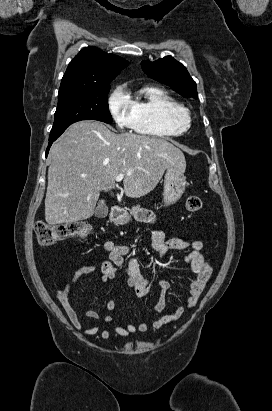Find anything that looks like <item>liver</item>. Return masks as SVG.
<instances>
[{
    "label": "liver",
    "instance_id": "liver-1",
    "mask_svg": "<svg viewBox=\"0 0 272 411\" xmlns=\"http://www.w3.org/2000/svg\"><path fill=\"white\" fill-rule=\"evenodd\" d=\"M45 198L49 225L90 218L100 191L124 177V192L139 198L151 192L165 170L186 169L184 154L170 142L133 133L115 134L97 121L72 124L52 145Z\"/></svg>",
    "mask_w": 272,
    "mask_h": 411
}]
</instances>
